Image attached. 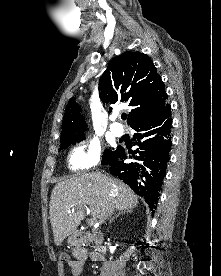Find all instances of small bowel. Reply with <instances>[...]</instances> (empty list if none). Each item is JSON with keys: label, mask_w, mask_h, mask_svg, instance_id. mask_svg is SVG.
<instances>
[{"label": "small bowel", "mask_w": 221, "mask_h": 276, "mask_svg": "<svg viewBox=\"0 0 221 276\" xmlns=\"http://www.w3.org/2000/svg\"><path fill=\"white\" fill-rule=\"evenodd\" d=\"M88 258H90L92 261L101 260V258L95 252L88 253L85 248H75L72 251V259L69 262V266L73 275L77 276L82 273L83 266Z\"/></svg>", "instance_id": "c3829d8e"}]
</instances>
